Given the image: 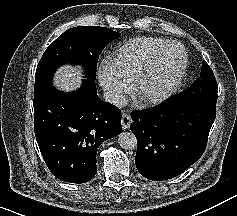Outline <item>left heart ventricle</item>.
Segmentation results:
<instances>
[{
	"label": "left heart ventricle",
	"mask_w": 237,
	"mask_h": 216,
	"mask_svg": "<svg viewBox=\"0 0 237 216\" xmlns=\"http://www.w3.org/2000/svg\"><path fill=\"white\" fill-rule=\"evenodd\" d=\"M182 62L180 52L157 61L151 72L144 77L140 94L142 96H155L162 92L177 78Z\"/></svg>",
	"instance_id": "1"
}]
</instances>
